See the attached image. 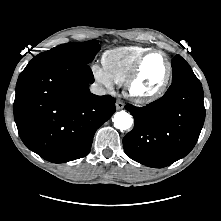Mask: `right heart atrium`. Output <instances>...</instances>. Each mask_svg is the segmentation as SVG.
Wrapping results in <instances>:
<instances>
[{"instance_id": "1", "label": "right heart atrium", "mask_w": 221, "mask_h": 221, "mask_svg": "<svg viewBox=\"0 0 221 221\" xmlns=\"http://www.w3.org/2000/svg\"><path fill=\"white\" fill-rule=\"evenodd\" d=\"M91 72H92V75H93L94 79L98 83L103 85L108 90H111L113 88V82L109 78V76L107 75V73H106V71L104 70L103 67H101L97 64H94L91 67Z\"/></svg>"}]
</instances>
